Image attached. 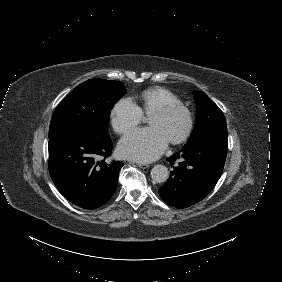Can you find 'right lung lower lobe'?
Listing matches in <instances>:
<instances>
[{
  "mask_svg": "<svg viewBox=\"0 0 282 282\" xmlns=\"http://www.w3.org/2000/svg\"><path fill=\"white\" fill-rule=\"evenodd\" d=\"M50 176L65 198L84 209H96L114 194L121 161L106 163L113 144L85 128H71L49 138Z\"/></svg>",
  "mask_w": 282,
  "mask_h": 282,
  "instance_id": "98d812e1",
  "label": "right lung lower lobe"
}]
</instances>
